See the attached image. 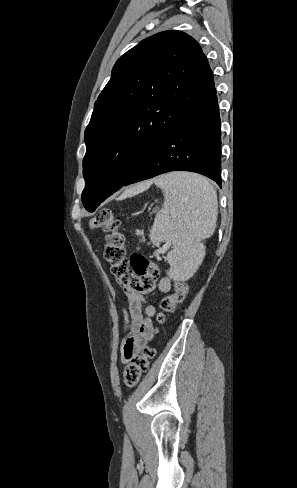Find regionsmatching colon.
Returning <instances> with one entry per match:
<instances>
[{
  "instance_id": "colon-1",
  "label": "colon",
  "mask_w": 297,
  "mask_h": 488,
  "mask_svg": "<svg viewBox=\"0 0 297 488\" xmlns=\"http://www.w3.org/2000/svg\"><path fill=\"white\" fill-rule=\"evenodd\" d=\"M91 226L105 232L104 256L111 265V272L121 283L140 293H149L154 290L159 277V266L145 257L135 253L130 258L126 255L125 238L120 231V221L110 209H101L92 218ZM188 294V284L177 281L174 292L162 299L161 312L157 316L160 326L167 321L166 314L172 312ZM159 329H157V332ZM155 356L152 347H144L140 354L135 355L125 366L123 382L127 388L138 384L141 376L149 369L151 359Z\"/></svg>"
}]
</instances>
